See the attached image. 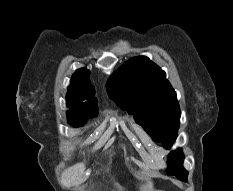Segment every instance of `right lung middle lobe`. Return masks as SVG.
<instances>
[{
    "instance_id": "1",
    "label": "right lung middle lobe",
    "mask_w": 233,
    "mask_h": 191,
    "mask_svg": "<svg viewBox=\"0 0 233 191\" xmlns=\"http://www.w3.org/2000/svg\"><path fill=\"white\" fill-rule=\"evenodd\" d=\"M96 116V115H95ZM93 117V116H89ZM69 122L74 126H82L88 117H69Z\"/></svg>"
}]
</instances>
